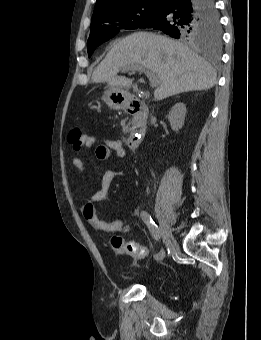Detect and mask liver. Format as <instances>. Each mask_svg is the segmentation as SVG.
<instances>
[{
    "mask_svg": "<svg viewBox=\"0 0 261 340\" xmlns=\"http://www.w3.org/2000/svg\"><path fill=\"white\" fill-rule=\"evenodd\" d=\"M134 65L144 66L159 79L156 100L212 88L214 68L182 43L148 32H135L120 40L94 70L92 83H107L111 88H130L132 79L117 73Z\"/></svg>",
    "mask_w": 261,
    "mask_h": 340,
    "instance_id": "6515ba94",
    "label": "liver"
}]
</instances>
